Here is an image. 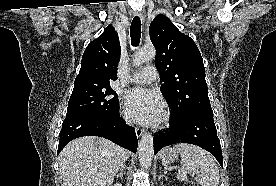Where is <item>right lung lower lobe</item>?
Segmentation results:
<instances>
[{
  "label": "right lung lower lobe",
  "mask_w": 276,
  "mask_h": 186,
  "mask_svg": "<svg viewBox=\"0 0 276 186\" xmlns=\"http://www.w3.org/2000/svg\"><path fill=\"white\" fill-rule=\"evenodd\" d=\"M99 136L136 152L138 140L134 128L119 116V107L109 115L80 114L66 117L60 131L58 154L71 140L82 136Z\"/></svg>",
  "instance_id": "1"
}]
</instances>
